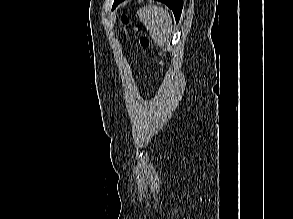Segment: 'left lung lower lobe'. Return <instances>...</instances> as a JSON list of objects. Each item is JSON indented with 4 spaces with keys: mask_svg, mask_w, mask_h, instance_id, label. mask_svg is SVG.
<instances>
[{
    "mask_svg": "<svg viewBox=\"0 0 293 219\" xmlns=\"http://www.w3.org/2000/svg\"><path fill=\"white\" fill-rule=\"evenodd\" d=\"M124 0H116L113 4L112 9H114L119 3H121ZM159 2L165 3L170 9H172L174 16L176 18V21L180 19V15L183 8V0H157Z\"/></svg>",
    "mask_w": 293,
    "mask_h": 219,
    "instance_id": "0a47b994",
    "label": "left lung lower lobe"
}]
</instances>
